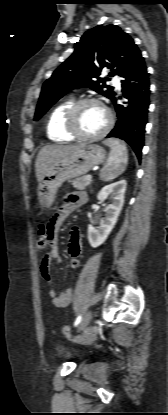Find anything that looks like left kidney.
I'll use <instances>...</instances> for the list:
<instances>
[{
	"label": "left kidney",
	"instance_id": "left-kidney-1",
	"mask_svg": "<svg viewBox=\"0 0 168 415\" xmlns=\"http://www.w3.org/2000/svg\"><path fill=\"white\" fill-rule=\"evenodd\" d=\"M126 186V181L120 180L103 187L98 193L99 201H104L107 196L111 195L113 203L105 208L106 216L101 219L98 228L88 225V241L93 248L103 244L114 228L124 204Z\"/></svg>",
	"mask_w": 168,
	"mask_h": 415
}]
</instances>
